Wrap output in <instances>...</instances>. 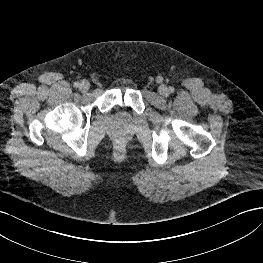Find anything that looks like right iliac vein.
<instances>
[{
	"label": "right iliac vein",
	"mask_w": 263,
	"mask_h": 263,
	"mask_svg": "<svg viewBox=\"0 0 263 263\" xmlns=\"http://www.w3.org/2000/svg\"><path fill=\"white\" fill-rule=\"evenodd\" d=\"M89 88H90L89 82L86 80H82L80 85H79V90L82 92H86L89 90Z\"/></svg>",
	"instance_id": "right-iliac-vein-1"
}]
</instances>
